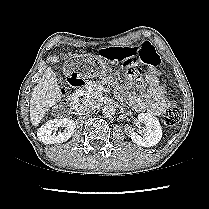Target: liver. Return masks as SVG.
<instances>
[{"mask_svg":"<svg viewBox=\"0 0 209 209\" xmlns=\"http://www.w3.org/2000/svg\"><path fill=\"white\" fill-rule=\"evenodd\" d=\"M58 77L51 67H48L38 84L33 89L30 99V118L34 126H38L45 115L58 107L61 100V89Z\"/></svg>","mask_w":209,"mask_h":209,"instance_id":"6515ba94","label":"liver"}]
</instances>
